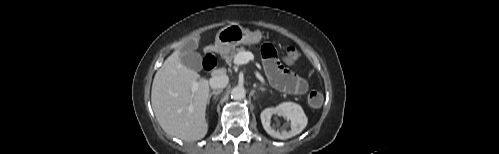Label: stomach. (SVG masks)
I'll use <instances>...</instances> for the list:
<instances>
[{
  "label": "stomach",
  "instance_id": "stomach-1",
  "mask_svg": "<svg viewBox=\"0 0 499 154\" xmlns=\"http://www.w3.org/2000/svg\"><path fill=\"white\" fill-rule=\"evenodd\" d=\"M262 34L259 30L254 32L244 29L238 24L228 25L217 33L215 44L220 49L233 48L240 44L254 45L261 41Z\"/></svg>",
  "mask_w": 499,
  "mask_h": 154
}]
</instances>
